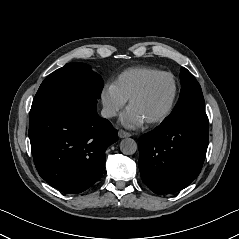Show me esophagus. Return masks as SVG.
Segmentation results:
<instances>
[{"label": "esophagus", "mask_w": 239, "mask_h": 239, "mask_svg": "<svg viewBox=\"0 0 239 239\" xmlns=\"http://www.w3.org/2000/svg\"><path fill=\"white\" fill-rule=\"evenodd\" d=\"M118 136L120 138H126V137H130L131 134L121 129L118 131Z\"/></svg>", "instance_id": "1"}]
</instances>
